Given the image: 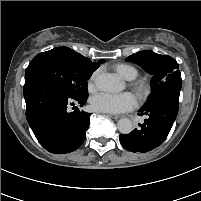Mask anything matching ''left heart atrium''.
Instances as JSON below:
<instances>
[{
  "mask_svg": "<svg viewBox=\"0 0 201 201\" xmlns=\"http://www.w3.org/2000/svg\"><path fill=\"white\" fill-rule=\"evenodd\" d=\"M135 97L128 92L121 94L99 93L92 97L91 107L102 113L120 114L133 109Z\"/></svg>",
  "mask_w": 201,
  "mask_h": 201,
  "instance_id": "left-heart-atrium-1",
  "label": "left heart atrium"
}]
</instances>
